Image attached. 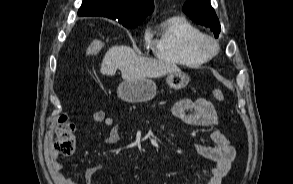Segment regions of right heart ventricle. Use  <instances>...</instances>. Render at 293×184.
Instances as JSON below:
<instances>
[{
	"label": "right heart ventricle",
	"instance_id": "1",
	"mask_svg": "<svg viewBox=\"0 0 293 184\" xmlns=\"http://www.w3.org/2000/svg\"><path fill=\"white\" fill-rule=\"evenodd\" d=\"M201 31L182 16H171L158 26L154 40L155 56L170 63L194 67L204 64L208 58L195 48Z\"/></svg>",
	"mask_w": 293,
	"mask_h": 184
}]
</instances>
